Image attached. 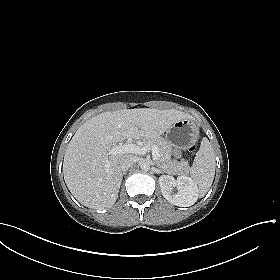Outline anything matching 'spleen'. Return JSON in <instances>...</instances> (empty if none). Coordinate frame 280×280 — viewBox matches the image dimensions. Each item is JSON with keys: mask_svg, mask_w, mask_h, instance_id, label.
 Here are the masks:
<instances>
[{"mask_svg": "<svg viewBox=\"0 0 280 280\" xmlns=\"http://www.w3.org/2000/svg\"><path fill=\"white\" fill-rule=\"evenodd\" d=\"M215 165L213 149L209 140L204 137L190 171L193 181L198 186L200 197H203L212 185L215 176Z\"/></svg>", "mask_w": 280, "mask_h": 280, "instance_id": "obj_1", "label": "spleen"}]
</instances>
